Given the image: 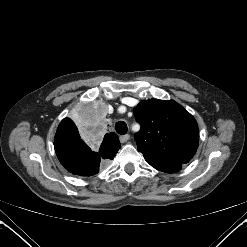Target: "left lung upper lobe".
Instances as JSON below:
<instances>
[{"label":"left lung upper lobe","mask_w":247,"mask_h":247,"mask_svg":"<svg viewBox=\"0 0 247 247\" xmlns=\"http://www.w3.org/2000/svg\"><path fill=\"white\" fill-rule=\"evenodd\" d=\"M141 125L135 134L138 151L147 162L188 163L198 148L194 117L175 101L149 99L134 108Z\"/></svg>","instance_id":"5c2ea615"}]
</instances>
